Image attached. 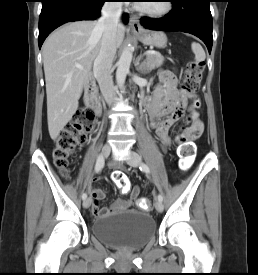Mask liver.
I'll return each instance as SVG.
<instances>
[{"label":"liver","mask_w":258,"mask_h":275,"mask_svg":"<svg viewBox=\"0 0 258 275\" xmlns=\"http://www.w3.org/2000/svg\"><path fill=\"white\" fill-rule=\"evenodd\" d=\"M125 27L118 24L117 47ZM103 31L96 21H76L54 31L42 49L47 94V121L54 140L72 119L83 87L92 75L93 61L101 47Z\"/></svg>","instance_id":"1"}]
</instances>
